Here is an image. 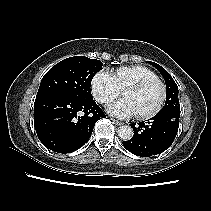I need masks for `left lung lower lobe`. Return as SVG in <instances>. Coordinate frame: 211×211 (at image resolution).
Returning a JSON list of instances; mask_svg holds the SVG:
<instances>
[{
	"mask_svg": "<svg viewBox=\"0 0 211 211\" xmlns=\"http://www.w3.org/2000/svg\"><path fill=\"white\" fill-rule=\"evenodd\" d=\"M133 138L124 141L123 146L131 153L150 157L168 149L173 143L178 127L179 116L170 113H158L147 122H140L138 126L131 124Z\"/></svg>",
	"mask_w": 211,
	"mask_h": 211,
	"instance_id": "1",
	"label": "left lung lower lobe"
}]
</instances>
